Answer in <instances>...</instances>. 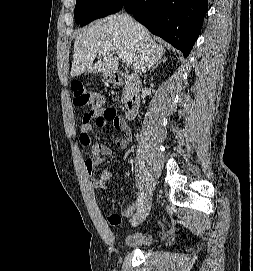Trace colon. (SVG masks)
Here are the masks:
<instances>
[{"label":"colon","instance_id":"1","mask_svg":"<svg viewBox=\"0 0 253 271\" xmlns=\"http://www.w3.org/2000/svg\"><path fill=\"white\" fill-rule=\"evenodd\" d=\"M73 102L75 105L81 107L90 106L92 109L91 113H101L108 121H119V117L113 109L103 110L104 98L102 94L85 90L79 83H75L74 85Z\"/></svg>","mask_w":253,"mask_h":271}]
</instances>
